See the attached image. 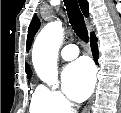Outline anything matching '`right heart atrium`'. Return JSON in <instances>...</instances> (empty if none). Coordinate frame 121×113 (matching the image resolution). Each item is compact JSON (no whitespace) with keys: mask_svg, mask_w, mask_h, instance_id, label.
I'll use <instances>...</instances> for the list:
<instances>
[{"mask_svg":"<svg viewBox=\"0 0 121 113\" xmlns=\"http://www.w3.org/2000/svg\"><path fill=\"white\" fill-rule=\"evenodd\" d=\"M40 89L43 97L50 104L54 113H65L66 110L71 108L70 103L60 92L52 90L46 86H41Z\"/></svg>","mask_w":121,"mask_h":113,"instance_id":"right-heart-atrium-1","label":"right heart atrium"}]
</instances>
